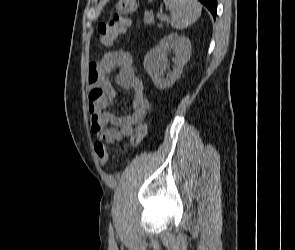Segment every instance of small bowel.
Returning a JSON list of instances; mask_svg holds the SVG:
<instances>
[{
    "mask_svg": "<svg viewBox=\"0 0 295 250\" xmlns=\"http://www.w3.org/2000/svg\"><path fill=\"white\" fill-rule=\"evenodd\" d=\"M114 71L117 72L116 84L132 94L130 112L123 116L106 111L116 96L108 79ZM88 84L90 126L97 142L115 144L124 138L132 142L134 127L142 124L150 106L143 82L135 72L132 55L123 49L106 53L100 61L90 64Z\"/></svg>",
    "mask_w": 295,
    "mask_h": 250,
    "instance_id": "small-bowel-1",
    "label": "small bowel"
}]
</instances>
